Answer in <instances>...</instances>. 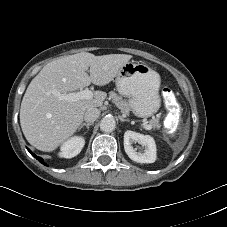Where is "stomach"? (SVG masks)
<instances>
[{
  "mask_svg": "<svg viewBox=\"0 0 227 227\" xmlns=\"http://www.w3.org/2000/svg\"><path fill=\"white\" fill-rule=\"evenodd\" d=\"M115 80L117 91L129 98L130 109L137 117L147 118L159 110L161 80L148 65L127 62L120 68Z\"/></svg>",
  "mask_w": 227,
  "mask_h": 227,
  "instance_id": "1",
  "label": "stomach"
}]
</instances>
